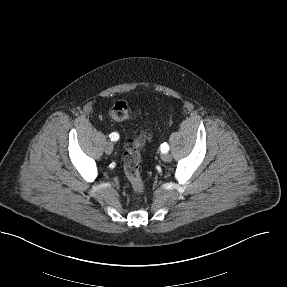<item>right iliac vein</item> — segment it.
Listing matches in <instances>:
<instances>
[{
  "mask_svg": "<svg viewBox=\"0 0 287 287\" xmlns=\"http://www.w3.org/2000/svg\"><path fill=\"white\" fill-rule=\"evenodd\" d=\"M113 152V144L111 142H107L105 145V153L110 155Z\"/></svg>",
  "mask_w": 287,
  "mask_h": 287,
  "instance_id": "obj_1",
  "label": "right iliac vein"
}]
</instances>
